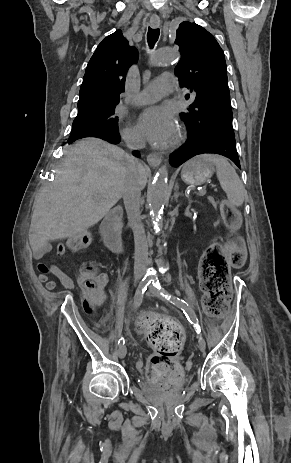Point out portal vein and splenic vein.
Masks as SVG:
<instances>
[{"instance_id": "portal-vein-and-splenic-vein-1", "label": "portal vein and splenic vein", "mask_w": 291, "mask_h": 463, "mask_svg": "<svg viewBox=\"0 0 291 463\" xmlns=\"http://www.w3.org/2000/svg\"><path fill=\"white\" fill-rule=\"evenodd\" d=\"M205 193H206V190L203 189V190H201V191L198 193V195L202 196V195H204Z\"/></svg>"}]
</instances>
